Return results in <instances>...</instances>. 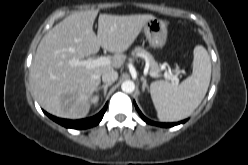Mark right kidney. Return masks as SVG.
Masks as SVG:
<instances>
[{
	"instance_id": "ca27d5eb",
	"label": "right kidney",
	"mask_w": 248,
	"mask_h": 165,
	"mask_svg": "<svg viewBox=\"0 0 248 165\" xmlns=\"http://www.w3.org/2000/svg\"><path fill=\"white\" fill-rule=\"evenodd\" d=\"M99 98L97 96L92 98V103L96 104L98 102Z\"/></svg>"
}]
</instances>
